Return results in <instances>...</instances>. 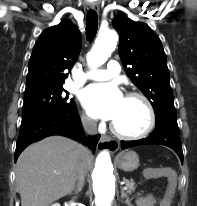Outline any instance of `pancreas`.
I'll return each instance as SVG.
<instances>
[{
    "label": "pancreas",
    "mask_w": 197,
    "mask_h": 206,
    "mask_svg": "<svg viewBox=\"0 0 197 206\" xmlns=\"http://www.w3.org/2000/svg\"><path fill=\"white\" fill-rule=\"evenodd\" d=\"M125 185L127 187V193L132 194L135 191L136 185L133 180L124 179Z\"/></svg>",
    "instance_id": "obj_1"
}]
</instances>
